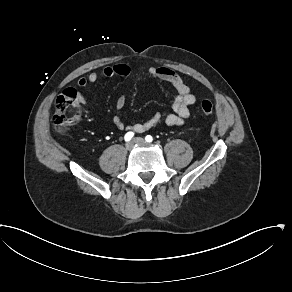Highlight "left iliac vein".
<instances>
[{"mask_svg":"<svg viewBox=\"0 0 292 292\" xmlns=\"http://www.w3.org/2000/svg\"><path fill=\"white\" fill-rule=\"evenodd\" d=\"M134 141H135L136 144H139V145L146 144V141L143 138H141V137L135 138Z\"/></svg>","mask_w":292,"mask_h":292,"instance_id":"1","label":"left iliac vein"}]
</instances>
